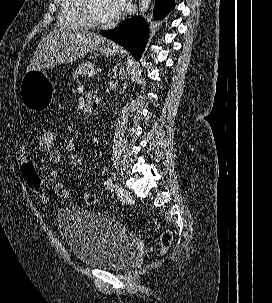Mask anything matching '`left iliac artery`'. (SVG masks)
<instances>
[{
    "label": "left iliac artery",
    "mask_w": 272,
    "mask_h": 303,
    "mask_svg": "<svg viewBox=\"0 0 272 303\" xmlns=\"http://www.w3.org/2000/svg\"><path fill=\"white\" fill-rule=\"evenodd\" d=\"M106 185H107V187H108L109 190L113 191L114 184H113L112 178H110V177L107 178Z\"/></svg>",
    "instance_id": "1"
}]
</instances>
